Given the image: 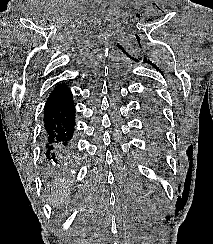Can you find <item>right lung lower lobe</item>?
Returning a JSON list of instances; mask_svg holds the SVG:
<instances>
[{"label":"right lung lower lobe","mask_w":213,"mask_h":244,"mask_svg":"<svg viewBox=\"0 0 213 244\" xmlns=\"http://www.w3.org/2000/svg\"><path fill=\"white\" fill-rule=\"evenodd\" d=\"M44 140L46 158L55 163L74 154L75 107L70 89L58 83L44 106Z\"/></svg>","instance_id":"98d812e1"}]
</instances>
